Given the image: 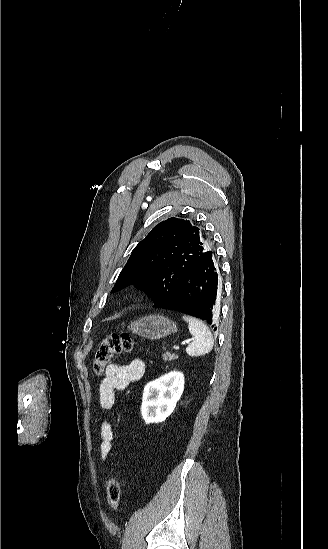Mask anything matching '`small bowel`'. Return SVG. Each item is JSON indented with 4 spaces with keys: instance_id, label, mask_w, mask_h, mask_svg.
Segmentation results:
<instances>
[{
    "instance_id": "obj_1",
    "label": "small bowel",
    "mask_w": 328,
    "mask_h": 549,
    "mask_svg": "<svg viewBox=\"0 0 328 549\" xmlns=\"http://www.w3.org/2000/svg\"><path fill=\"white\" fill-rule=\"evenodd\" d=\"M144 373L145 364L141 359H133L128 364H108L99 386L100 407L105 411L110 410L115 402V392L125 390L131 383L140 380ZM100 435V460L105 462L112 449L113 440V429L108 420L101 423Z\"/></svg>"
}]
</instances>
